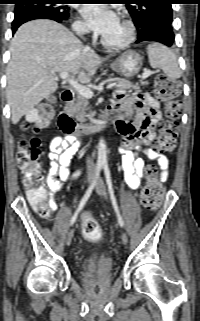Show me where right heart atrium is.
<instances>
[{"label": "right heart atrium", "mask_w": 200, "mask_h": 321, "mask_svg": "<svg viewBox=\"0 0 200 321\" xmlns=\"http://www.w3.org/2000/svg\"><path fill=\"white\" fill-rule=\"evenodd\" d=\"M73 30L80 37H86L88 35V29H87L85 23L80 19H77L73 23Z\"/></svg>", "instance_id": "right-heart-atrium-1"}]
</instances>
